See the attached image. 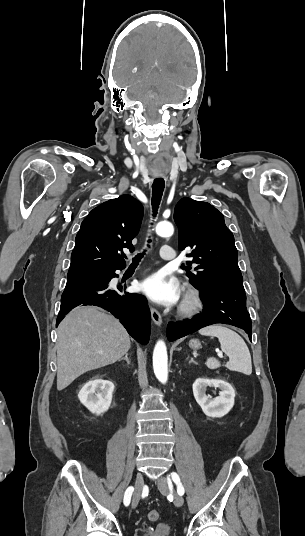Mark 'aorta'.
Segmentation results:
<instances>
[{
  "mask_svg": "<svg viewBox=\"0 0 305 536\" xmlns=\"http://www.w3.org/2000/svg\"><path fill=\"white\" fill-rule=\"evenodd\" d=\"M156 233L161 237H170L174 228L170 222H159L156 226ZM153 369L156 378L163 384L168 380V355L167 348L163 340L157 341L153 351Z\"/></svg>",
  "mask_w": 305,
  "mask_h": 536,
  "instance_id": "obj_1",
  "label": "aorta"
}]
</instances>
